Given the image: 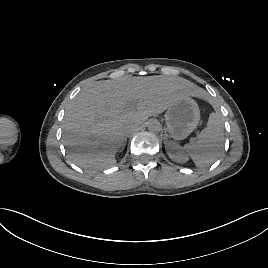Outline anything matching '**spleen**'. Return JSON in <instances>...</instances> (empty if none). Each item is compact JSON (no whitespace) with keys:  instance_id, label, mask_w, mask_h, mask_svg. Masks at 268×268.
<instances>
[{"instance_id":"1","label":"spleen","mask_w":268,"mask_h":268,"mask_svg":"<svg viewBox=\"0 0 268 268\" xmlns=\"http://www.w3.org/2000/svg\"><path fill=\"white\" fill-rule=\"evenodd\" d=\"M223 141L222 119L218 112H214L209 115L207 126L200 132L198 140L186 144L184 150L197 167L204 168L211 165L219 156Z\"/></svg>"}]
</instances>
